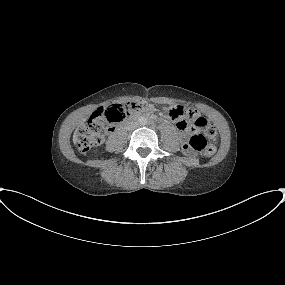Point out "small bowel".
I'll list each match as a JSON object with an SVG mask.
<instances>
[{
	"mask_svg": "<svg viewBox=\"0 0 285 285\" xmlns=\"http://www.w3.org/2000/svg\"><path fill=\"white\" fill-rule=\"evenodd\" d=\"M198 117H200V115H199V113L196 110H194V109L187 110V114H186L187 120L194 121ZM187 120H184V121H187ZM185 154H189V153L185 152Z\"/></svg>",
	"mask_w": 285,
	"mask_h": 285,
	"instance_id": "obj_1",
	"label": "small bowel"
}]
</instances>
